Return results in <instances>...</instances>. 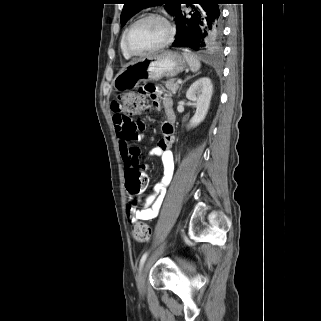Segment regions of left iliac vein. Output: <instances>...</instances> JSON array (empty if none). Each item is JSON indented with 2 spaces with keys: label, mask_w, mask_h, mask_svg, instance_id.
<instances>
[{
  "label": "left iliac vein",
  "mask_w": 321,
  "mask_h": 321,
  "mask_svg": "<svg viewBox=\"0 0 321 321\" xmlns=\"http://www.w3.org/2000/svg\"><path fill=\"white\" fill-rule=\"evenodd\" d=\"M179 228H180V225L178 226L177 230H179ZM148 269H149V260H147L145 264L142 266L139 279H138V287L141 293H143L145 289V278H146Z\"/></svg>",
  "instance_id": "obj_1"
}]
</instances>
